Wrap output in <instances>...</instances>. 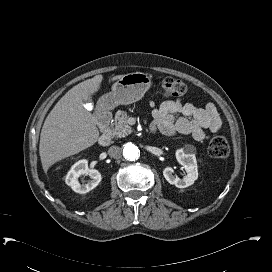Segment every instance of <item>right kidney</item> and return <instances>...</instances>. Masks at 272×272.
I'll return each mask as SVG.
<instances>
[{
    "label": "right kidney",
    "instance_id": "1",
    "mask_svg": "<svg viewBox=\"0 0 272 272\" xmlns=\"http://www.w3.org/2000/svg\"><path fill=\"white\" fill-rule=\"evenodd\" d=\"M82 175H88L90 180L86 184H80L78 178ZM102 177L98 170L89 169L88 161L86 159L76 162L67 173L65 182L72 190L79 194H85L94 189Z\"/></svg>",
    "mask_w": 272,
    "mask_h": 272
}]
</instances>
